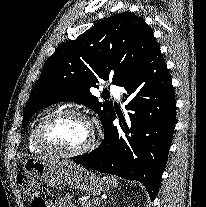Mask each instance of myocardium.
<instances>
[{
  "label": "myocardium",
  "mask_w": 206,
  "mask_h": 207,
  "mask_svg": "<svg viewBox=\"0 0 206 207\" xmlns=\"http://www.w3.org/2000/svg\"><path fill=\"white\" fill-rule=\"evenodd\" d=\"M63 118H78L86 122L92 131V137L90 141L82 148L76 149L73 151H67L64 149H61L59 147L51 145L49 142H47L44 138L43 132L45 128L50 125L52 122L57 121L59 119ZM34 142L35 145L40 148L43 151L53 153L55 155L63 156V157H78L82 156L84 154L89 153L94 149L97 142V133L96 128L91 120V118L86 115L85 113L78 111V110H58L54 111L47 116H45L36 126L34 130Z\"/></svg>",
  "instance_id": "myocardium-1"
}]
</instances>
